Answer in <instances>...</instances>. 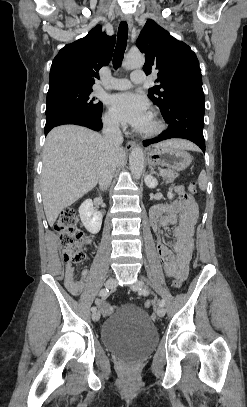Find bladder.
<instances>
[{
  "instance_id": "bladder-1",
  "label": "bladder",
  "mask_w": 247,
  "mask_h": 407,
  "mask_svg": "<svg viewBox=\"0 0 247 407\" xmlns=\"http://www.w3.org/2000/svg\"><path fill=\"white\" fill-rule=\"evenodd\" d=\"M103 345L115 355L138 361L158 342V332L148 314L133 304L114 308L101 327Z\"/></svg>"
}]
</instances>
